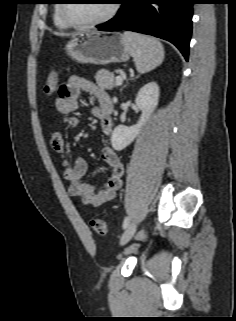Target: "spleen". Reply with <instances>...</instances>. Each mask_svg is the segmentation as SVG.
<instances>
[{"label":"spleen","mask_w":236,"mask_h":321,"mask_svg":"<svg viewBox=\"0 0 236 321\" xmlns=\"http://www.w3.org/2000/svg\"><path fill=\"white\" fill-rule=\"evenodd\" d=\"M122 39L138 72H149L163 62L164 47L157 39L128 31L123 33Z\"/></svg>","instance_id":"1"}]
</instances>
